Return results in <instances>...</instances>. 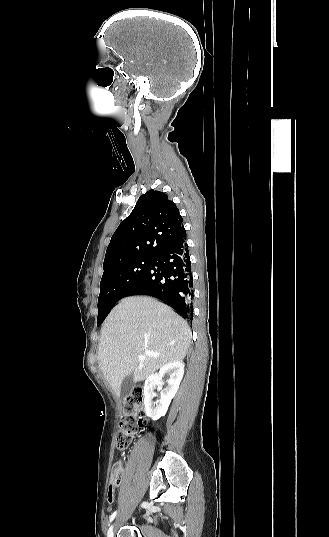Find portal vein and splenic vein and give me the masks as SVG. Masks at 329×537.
I'll return each instance as SVG.
<instances>
[{"label": "portal vein and splenic vein", "instance_id": "18ae733b", "mask_svg": "<svg viewBox=\"0 0 329 537\" xmlns=\"http://www.w3.org/2000/svg\"><path fill=\"white\" fill-rule=\"evenodd\" d=\"M146 355H148V356H156V354H155V353H152V352H147ZM145 359H146V356H145V355H140V356L138 357V360H139L140 362H143Z\"/></svg>", "mask_w": 329, "mask_h": 537}]
</instances>
